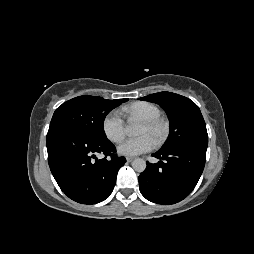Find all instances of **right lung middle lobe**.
<instances>
[{
    "label": "right lung middle lobe",
    "instance_id": "1",
    "mask_svg": "<svg viewBox=\"0 0 254 254\" xmlns=\"http://www.w3.org/2000/svg\"><path fill=\"white\" fill-rule=\"evenodd\" d=\"M127 100L89 95L73 98L56 109L50 127L63 126L96 139H106L103 127L106 115Z\"/></svg>",
    "mask_w": 254,
    "mask_h": 254
}]
</instances>
